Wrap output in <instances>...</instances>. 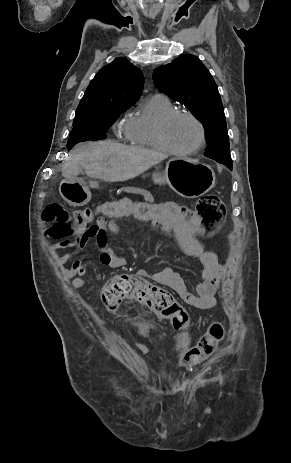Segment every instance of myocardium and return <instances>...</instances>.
Masks as SVG:
<instances>
[{
    "mask_svg": "<svg viewBox=\"0 0 291 463\" xmlns=\"http://www.w3.org/2000/svg\"><path fill=\"white\" fill-rule=\"evenodd\" d=\"M179 116H185V117L190 118L196 123V125L199 128V131H200L199 141L194 147L190 149H186V150L176 149L170 144V142L167 139L166 130H167L168 125L173 119ZM155 134H156V139L158 141L160 148L166 153H169L175 156H189V155L195 154L204 147L205 142H206V129H205L204 124L197 116H195L193 113L186 111V110H176L175 109L167 113L166 115H164L156 125Z\"/></svg>",
    "mask_w": 291,
    "mask_h": 463,
    "instance_id": "f54148a6",
    "label": "myocardium"
}]
</instances>
